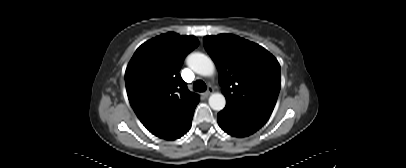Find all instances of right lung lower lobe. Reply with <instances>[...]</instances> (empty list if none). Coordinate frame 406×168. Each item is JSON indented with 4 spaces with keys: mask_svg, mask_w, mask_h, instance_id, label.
I'll return each mask as SVG.
<instances>
[{
    "mask_svg": "<svg viewBox=\"0 0 406 168\" xmlns=\"http://www.w3.org/2000/svg\"><path fill=\"white\" fill-rule=\"evenodd\" d=\"M195 107L187 114V116L176 126V128L165 139L174 140L180 138L189 131L192 124V118Z\"/></svg>",
    "mask_w": 406,
    "mask_h": 168,
    "instance_id": "1",
    "label": "right lung lower lobe"
}]
</instances>
